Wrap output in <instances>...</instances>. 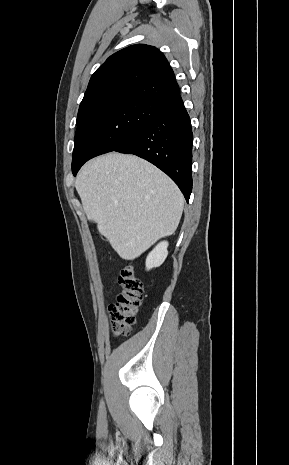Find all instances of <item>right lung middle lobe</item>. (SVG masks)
Returning a JSON list of instances; mask_svg holds the SVG:
<instances>
[{
    "instance_id": "obj_1",
    "label": "right lung middle lobe",
    "mask_w": 289,
    "mask_h": 465,
    "mask_svg": "<svg viewBox=\"0 0 289 465\" xmlns=\"http://www.w3.org/2000/svg\"><path fill=\"white\" fill-rule=\"evenodd\" d=\"M160 104L143 100L118 102L92 113L75 133L72 168L85 159L114 151L141 129Z\"/></svg>"
}]
</instances>
